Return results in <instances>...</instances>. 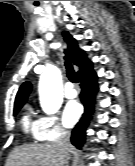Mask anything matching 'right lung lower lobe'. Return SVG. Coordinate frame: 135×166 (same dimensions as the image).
Masks as SVG:
<instances>
[{
    "label": "right lung lower lobe",
    "instance_id": "1",
    "mask_svg": "<svg viewBox=\"0 0 135 166\" xmlns=\"http://www.w3.org/2000/svg\"><path fill=\"white\" fill-rule=\"evenodd\" d=\"M81 93L79 95L81 102L84 105L85 112L82 115L81 120L76 124L75 128L72 130L71 142L77 148H81L85 143L86 128L89 124V118L93 112V99L95 98L96 92L98 91L97 87V75L93 71L92 63L90 62L84 68L78 71L77 73ZM92 102V103H91Z\"/></svg>",
    "mask_w": 135,
    "mask_h": 166
}]
</instances>
